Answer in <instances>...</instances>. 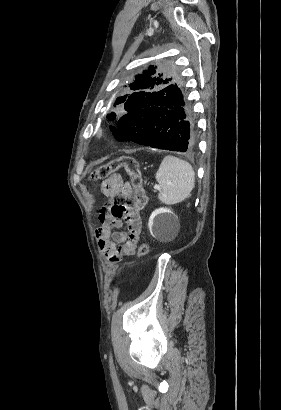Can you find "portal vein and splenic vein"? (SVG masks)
<instances>
[{"mask_svg":"<svg viewBox=\"0 0 281 410\" xmlns=\"http://www.w3.org/2000/svg\"><path fill=\"white\" fill-rule=\"evenodd\" d=\"M154 188H155V189H159L160 186H159V185H155Z\"/></svg>","mask_w":281,"mask_h":410,"instance_id":"portal-vein-and-splenic-vein-1","label":"portal vein and splenic vein"}]
</instances>
